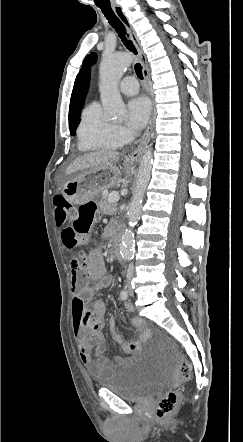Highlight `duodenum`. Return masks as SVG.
<instances>
[{
	"label": "duodenum",
	"instance_id": "410a0bca",
	"mask_svg": "<svg viewBox=\"0 0 243 442\" xmlns=\"http://www.w3.org/2000/svg\"><path fill=\"white\" fill-rule=\"evenodd\" d=\"M121 235L119 232L114 233V251L118 257H121L122 252Z\"/></svg>",
	"mask_w": 243,
	"mask_h": 442
}]
</instances>
